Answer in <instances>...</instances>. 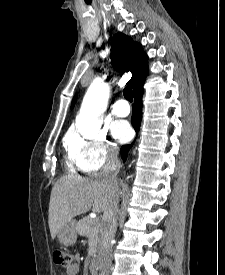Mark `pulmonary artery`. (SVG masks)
<instances>
[{
    "label": "pulmonary artery",
    "instance_id": "pulmonary-artery-1",
    "mask_svg": "<svg viewBox=\"0 0 225 275\" xmlns=\"http://www.w3.org/2000/svg\"><path fill=\"white\" fill-rule=\"evenodd\" d=\"M129 112L130 108L125 100H118L113 106V114L118 117H125Z\"/></svg>",
    "mask_w": 225,
    "mask_h": 275
}]
</instances>
